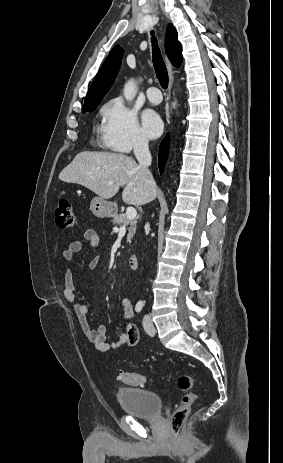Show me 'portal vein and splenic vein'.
I'll list each match as a JSON object with an SVG mask.
<instances>
[{"label": "portal vein and splenic vein", "mask_w": 283, "mask_h": 463, "mask_svg": "<svg viewBox=\"0 0 283 463\" xmlns=\"http://www.w3.org/2000/svg\"><path fill=\"white\" fill-rule=\"evenodd\" d=\"M112 184H113V182L108 183V185H112ZM136 215H137V211H136V209L134 207H128L126 209V217H127V219L132 220V219H134L136 217Z\"/></svg>", "instance_id": "portal-vein-and-splenic-vein-1"}]
</instances>
